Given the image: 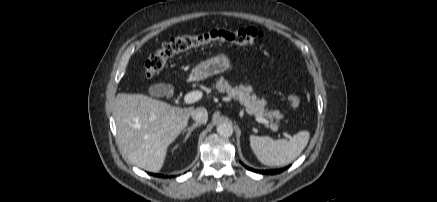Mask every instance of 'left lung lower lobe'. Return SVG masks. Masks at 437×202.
I'll list each match as a JSON object with an SVG mask.
<instances>
[{"label":"left lung lower lobe","instance_id":"obj_1","mask_svg":"<svg viewBox=\"0 0 437 202\" xmlns=\"http://www.w3.org/2000/svg\"><path fill=\"white\" fill-rule=\"evenodd\" d=\"M288 167H285V168H282V169H275V170H254V169H252V168H248L247 167V169H249V170H251V171H254V172H257V173H261V174H277V173H281V172H283L284 170H286Z\"/></svg>","mask_w":437,"mask_h":202}]
</instances>
